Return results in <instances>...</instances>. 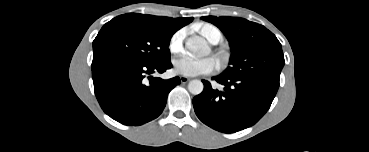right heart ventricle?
<instances>
[{"label":"right heart ventricle","instance_id":"e07e8e85","mask_svg":"<svg viewBox=\"0 0 369 152\" xmlns=\"http://www.w3.org/2000/svg\"><path fill=\"white\" fill-rule=\"evenodd\" d=\"M198 32L200 33L201 36H203L210 43H214L216 35H219L220 39H221L220 31L215 26H213L211 24H201V25H199L198 26Z\"/></svg>","mask_w":369,"mask_h":152}]
</instances>
